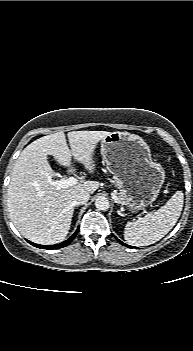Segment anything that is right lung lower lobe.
Masks as SVG:
<instances>
[{
  "label": "right lung lower lobe",
  "mask_w": 193,
  "mask_h": 351,
  "mask_svg": "<svg viewBox=\"0 0 193 351\" xmlns=\"http://www.w3.org/2000/svg\"><path fill=\"white\" fill-rule=\"evenodd\" d=\"M79 231V228L76 230V232L66 241L60 243V244H55V245H39V244H35V243H32L30 241H28L30 244H32L33 246L35 247H38V248H42V249H59V248H63L67 245L70 244V242L75 238V236L77 235Z\"/></svg>",
  "instance_id": "1"
}]
</instances>
